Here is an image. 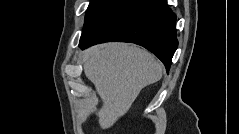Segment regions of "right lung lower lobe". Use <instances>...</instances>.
<instances>
[{"label":"right lung lower lobe","mask_w":239,"mask_h":134,"mask_svg":"<svg viewBox=\"0 0 239 134\" xmlns=\"http://www.w3.org/2000/svg\"><path fill=\"white\" fill-rule=\"evenodd\" d=\"M175 21L166 0H125L87 37L80 38L79 47L107 41L135 43L154 53L168 71L178 46Z\"/></svg>","instance_id":"98d812e1"}]
</instances>
